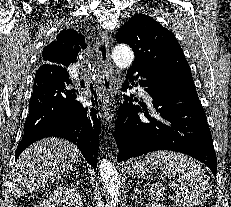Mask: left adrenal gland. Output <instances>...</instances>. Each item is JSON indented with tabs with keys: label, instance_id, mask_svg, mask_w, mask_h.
I'll list each match as a JSON object with an SVG mask.
<instances>
[{
	"label": "left adrenal gland",
	"instance_id": "a2214340",
	"mask_svg": "<svg viewBox=\"0 0 231 207\" xmlns=\"http://www.w3.org/2000/svg\"><path fill=\"white\" fill-rule=\"evenodd\" d=\"M138 192V188H137V186L134 188V190H133V196L136 194Z\"/></svg>",
	"mask_w": 231,
	"mask_h": 207
}]
</instances>
